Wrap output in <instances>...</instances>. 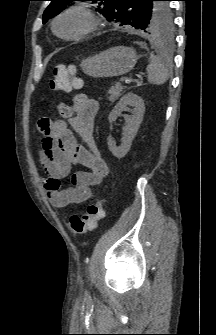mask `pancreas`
<instances>
[{"label":"pancreas","instance_id":"cf45deb5","mask_svg":"<svg viewBox=\"0 0 216 335\" xmlns=\"http://www.w3.org/2000/svg\"><path fill=\"white\" fill-rule=\"evenodd\" d=\"M123 86L121 85V83H115L114 86H112L110 89H109V96H108V99L110 102H115L122 94V91H123Z\"/></svg>","mask_w":216,"mask_h":335}]
</instances>
